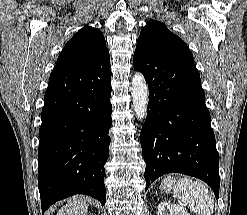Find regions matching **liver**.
<instances>
[{"mask_svg":"<svg viewBox=\"0 0 247 215\" xmlns=\"http://www.w3.org/2000/svg\"><path fill=\"white\" fill-rule=\"evenodd\" d=\"M88 205L84 196L74 197L68 200V203L62 207L57 215H86Z\"/></svg>","mask_w":247,"mask_h":215,"instance_id":"6515ba94","label":"liver"}]
</instances>
